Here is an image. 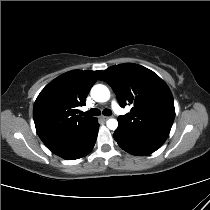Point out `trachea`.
Returning <instances> with one entry per match:
<instances>
[{
    "mask_svg": "<svg viewBox=\"0 0 210 210\" xmlns=\"http://www.w3.org/2000/svg\"><path fill=\"white\" fill-rule=\"evenodd\" d=\"M102 113L105 116H110L112 114V111L110 109H104ZM83 115L97 116L100 115V110L97 108H93L87 112H83Z\"/></svg>",
    "mask_w": 210,
    "mask_h": 210,
    "instance_id": "1",
    "label": "trachea"
}]
</instances>
